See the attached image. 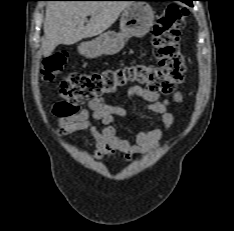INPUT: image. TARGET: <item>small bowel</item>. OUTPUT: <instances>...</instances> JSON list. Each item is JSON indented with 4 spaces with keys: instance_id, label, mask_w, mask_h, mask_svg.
Returning <instances> with one entry per match:
<instances>
[{
    "instance_id": "1",
    "label": "small bowel",
    "mask_w": 234,
    "mask_h": 231,
    "mask_svg": "<svg viewBox=\"0 0 234 231\" xmlns=\"http://www.w3.org/2000/svg\"><path fill=\"white\" fill-rule=\"evenodd\" d=\"M127 94L130 98L139 97L146 101L145 109L161 115L163 127L139 132L135 140L120 137L115 122L118 118L127 116L126 107L113 105L98 98L90 101L86 108L69 115L62 114L60 106L55 105L52 111L56 118L59 134L88 132L95 142V148L91 154L94 160H101L103 157L116 159L119 153H122L125 159H130L138 152L154 151L159 147L160 140L174 122V117L169 112L170 99L163 98L160 94L139 86L130 87ZM181 99V92L175 90L171 100L180 102ZM94 120L100 126H96Z\"/></svg>"
}]
</instances>
